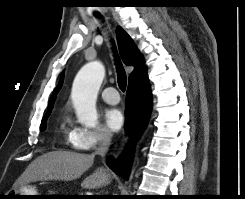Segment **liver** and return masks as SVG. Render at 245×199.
I'll return each instance as SVG.
<instances>
[{
	"mask_svg": "<svg viewBox=\"0 0 245 199\" xmlns=\"http://www.w3.org/2000/svg\"><path fill=\"white\" fill-rule=\"evenodd\" d=\"M93 162L94 155L64 150L48 152L36 158L28 166L16 186L36 181H71L79 178ZM110 182L111 177L107 170L98 168L83 180L81 186L86 189H96Z\"/></svg>",
	"mask_w": 245,
	"mask_h": 199,
	"instance_id": "6515ba94",
	"label": "liver"
}]
</instances>
